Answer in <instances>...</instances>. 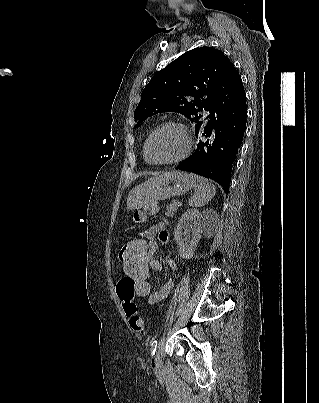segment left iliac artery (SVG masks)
<instances>
[{
  "label": "left iliac artery",
  "mask_w": 319,
  "mask_h": 403,
  "mask_svg": "<svg viewBox=\"0 0 319 403\" xmlns=\"http://www.w3.org/2000/svg\"><path fill=\"white\" fill-rule=\"evenodd\" d=\"M157 345H158V341L157 340H154V341H152V343H151V356H154L155 355V352H156V349H157Z\"/></svg>",
  "instance_id": "44dca946"
}]
</instances>
